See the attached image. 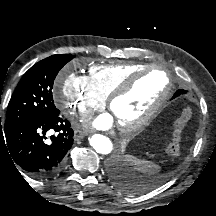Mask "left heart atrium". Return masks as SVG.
<instances>
[{
	"mask_svg": "<svg viewBox=\"0 0 216 216\" xmlns=\"http://www.w3.org/2000/svg\"><path fill=\"white\" fill-rule=\"evenodd\" d=\"M113 124V118L109 114H103L98 116L94 121L93 125L94 127L98 129H109Z\"/></svg>",
	"mask_w": 216,
	"mask_h": 216,
	"instance_id": "left-heart-atrium-1",
	"label": "left heart atrium"
}]
</instances>
